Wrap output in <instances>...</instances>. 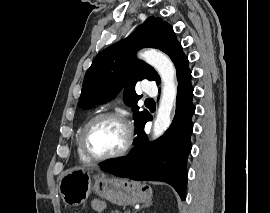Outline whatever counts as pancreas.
<instances>
[{
  "mask_svg": "<svg viewBox=\"0 0 270 213\" xmlns=\"http://www.w3.org/2000/svg\"><path fill=\"white\" fill-rule=\"evenodd\" d=\"M111 213H120V212H118V211H114V212H111Z\"/></svg>",
  "mask_w": 270,
  "mask_h": 213,
  "instance_id": "obj_1",
  "label": "pancreas"
}]
</instances>
